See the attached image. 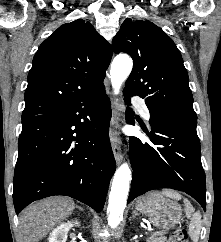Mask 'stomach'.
<instances>
[{"instance_id":"1","label":"stomach","mask_w":221,"mask_h":242,"mask_svg":"<svg viewBox=\"0 0 221 242\" xmlns=\"http://www.w3.org/2000/svg\"><path fill=\"white\" fill-rule=\"evenodd\" d=\"M135 209L149 217L150 222L163 229L174 227L182 217V208L158 192H152L137 200Z\"/></svg>"}]
</instances>
